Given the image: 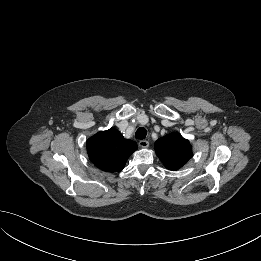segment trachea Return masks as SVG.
<instances>
[{"mask_svg": "<svg viewBox=\"0 0 261 261\" xmlns=\"http://www.w3.org/2000/svg\"><path fill=\"white\" fill-rule=\"evenodd\" d=\"M146 135H147V131L143 127L138 128V130L135 133V137L140 140H143L146 137Z\"/></svg>", "mask_w": 261, "mask_h": 261, "instance_id": "trachea-1", "label": "trachea"}]
</instances>
